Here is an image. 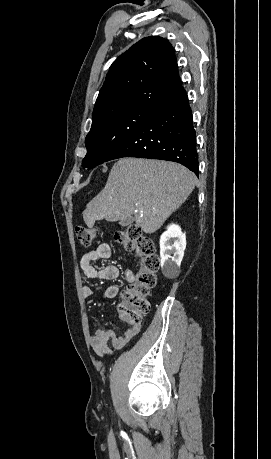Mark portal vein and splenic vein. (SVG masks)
<instances>
[{"label":"portal vein and splenic vein","instance_id":"1","mask_svg":"<svg viewBox=\"0 0 271 459\" xmlns=\"http://www.w3.org/2000/svg\"><path fill=\"white\" fill-rule=\"evenodd\" d=\"M134 212H138V210H134Z\"/></svg>","mask_w":271,"mask_h":459}]
</instances>
